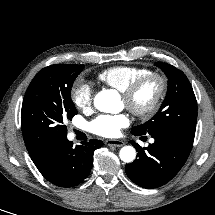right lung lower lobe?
Masks as SVG:
<instances>
[{"label": "right lung lower lobe", "instance_id": "obj_1", "mask_svg": "<svg viewBox=\"0 0 215 215\" xmlns=\"http://www.w3.org/2000/svg\"><path fill=\"white\" fill-rule=\"evenodd\" d=\"M103 146L100 140L92 139L73 147L67 138L54 146L43 163L36 166L52 184L73 187L80 184L89 174L94 151Z\"/></svg>", "mask_w": 215, "mask_h": 215}]
</instances>
